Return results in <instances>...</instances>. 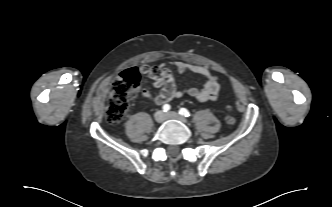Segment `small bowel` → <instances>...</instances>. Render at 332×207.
Wrapping results in <instances>:
<instances>
[{
    "label": "small bowel",
    "mask_w": 332,
    "mask_h": 207,
    "mask_svg": "<svg viewBox=\"0 0 332 207\" xmlns=\"http://www.w3.org/2000/svg\"><path fill=\"white\" fill-rule=\"evenodd\" d=\"M171 66L180 74L190 72L198 75L202 79L201 88L177 87ZM171 66L164 63L153 67L146 64L140 66V72L153 80L154 86L160 89L158 93L153 95L147 89L142 90L144 98H151L156 104L162 105L173 98H180L186 94L200 102L214 100L217 97L220 83L218 77L212 74L207 67L186 62H175Z\"/></svg>",
    "instance_id": "c3829d8e"
}]
</instances>
